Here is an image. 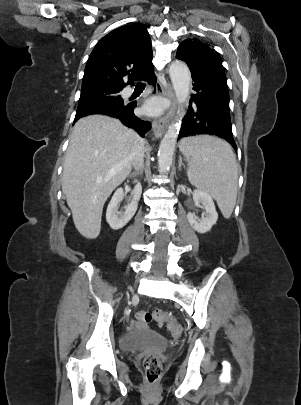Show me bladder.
Returning a JSON list of instances; mask_svg holds the SVG:
<instances>
[{
  "label": "bladder",
  "instance_id": "31cf9c89",
  "mask_svg": "<svg viewBox=\"0 0 301 405\" xmlns=\"http://www.w3.org/2000/svg\"><path fill=\"white\" fill-rule=\"evenodd\" d=\"M120 346L124 351L134 352L145 349L164 350L165 339L153 330L135 327L121 338Z\"/></svg>",
  "mask_w": 301,
  "mask_h": 405
}]
</instances>
